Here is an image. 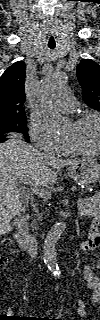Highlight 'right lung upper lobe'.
<instances>
[{"mask_svg":"<svg viewBox=\"0 0 100 320\" xmlns=\"http://www.w3.org/2000/svg\"><path fill=\"white\" fill-rule=\"evenodd\" d=\"M25 69V63L18 61L0 77V120L25 116Z\"/></svg>","mask_w":100,"mask_h":320,"instance_id":"obj_1","label":"right lung upper lobe"}]
</instances>
